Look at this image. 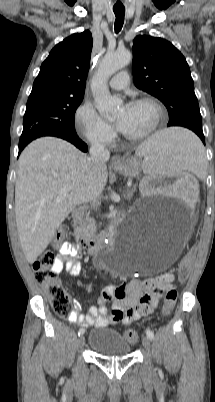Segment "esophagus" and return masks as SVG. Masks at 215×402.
I'll return each mask as SVG.
<instances>
[{"label":"esophagus","instance_id":"34e87169","mask_svg":"<svg viewBox=\"0 0 215 402\" xmlns=\"http://www.w3.org/2000/svg\"><path fill=\"white\" fill-rule=\"evenodd\" d=\"M110 164H111L112 167H118V166H120V165L122 164V159H121V157L118 156V155L113 156L112 159H111V161H110Z\"/></svg>","mask_w":215,"mask_h":402}]
</instances>
